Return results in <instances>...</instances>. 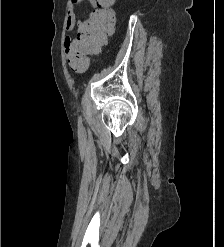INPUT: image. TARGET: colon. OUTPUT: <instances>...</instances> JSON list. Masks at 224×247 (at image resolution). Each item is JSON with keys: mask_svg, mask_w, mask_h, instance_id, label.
I'll list each match as a JSON object with an SVG mask.
<instances>
[{"mask_svg": "<svg viewBox=\"0 0 224 247\" xmlns=\"http://www.w3.org/2000/svg\"><path fill=\"white\" fill-rule=\"evenodd\" d=\"M114 0H98L91 16L87 19L77 35L79 54L71 63L75 72L83 71L87 66L84 54L95 51L112 33L115 27Z\"/></svg>", "mask_w": 224, "mask_h": 247, "instance_id": "colon-1", "label": "colon"}]
</instances>
